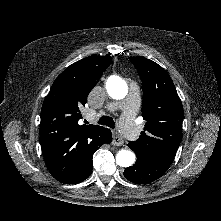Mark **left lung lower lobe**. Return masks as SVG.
Here are the masks:
<instances>
[{
	"mask_svg": "<svg viewBox=\"0 0 221 221\" xmlns=\"http://www.w3.org/2000/svg\"><path fill=\"white\" fill-rule=\"evenodd\" d=\"M128 146L131 148L130 143ZM171 163L172 160L146 161L137 159L136 163L126 168L123 174L131 182L145 184L160 178Z\"/></svg>",
	"mask_w": 221,
	"mask_h": 221,
	"instance_id": "left-lung-lower-lobe-1",
	"label": "left lung lower lobe"
}]
</instances>
